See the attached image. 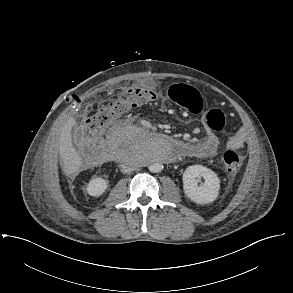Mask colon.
<instances>
[{
  "mask_svg": "<svg viewBox=\"0 0 293 293\" xmlns=\"http://www.w3.org/2000/svg\"><path fill=\"white\" fill-rule=\"evenodd\" d=\"M153 94L150 89L145 87L129 88L122 97L98 107L89 116L86 122L88 133L96 135L122 114L136 107L149 104L154 98ZM170 96L173 102L190 112L197 113L203 108L202 98L199 92L192 86L184 84L175 85ZM205 123L211 130L220 132L226 126L227 114L222 109H210L205 114ZM223 162L227 171L236 172L242 164V158L237 152L226 150L223 154Z\"/></svg>",
  "mask_w": 293,
  "mask_h": 293,
  "instance_id": "obj_1",
  "label": "colon"
}]
</instances>
